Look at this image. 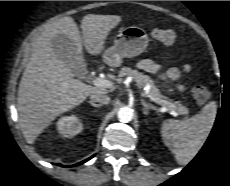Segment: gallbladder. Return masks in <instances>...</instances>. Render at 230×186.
Wrapping results in <instances>:
<instances>
[{
    "mask_svg": "<svg viewBox=\"0 0 230 186\" xmlns=\"http://www.w3.org/2000/svg\"><path fill=\"white\" fill-rule=\"evenodd\" d=\"M55 53L64 60L73 73L81 76L86 71V63L83 56L77 52L75 45L64 35H57L53 41Z\"/></svg>",
    "mask_w": 230,
    "mask_h": 186,
    "instance_id": "obj_1",
    "label": "gallbladder"
}]
</instances>
